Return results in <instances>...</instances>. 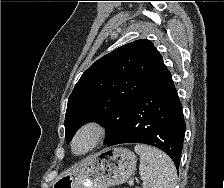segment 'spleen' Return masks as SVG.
I'll return each mask as SVG.
<instances>
[{
  "label": "spleen",
  "instance_id": "obj_1",
  "mask_svg": "<svg viewBox=\"0 0 224 188\" xmlns=\"http://www.w3.org/2000/svg\"><path fill=\"white\" fill-rule=\"evenodd\" d=\"M134 150L140 156L143 188H175L176 168L168 155L145 144H136Z\"/></svg>",
  "mask_w": 224,
  "mask_h": 188
}]
</instances>
